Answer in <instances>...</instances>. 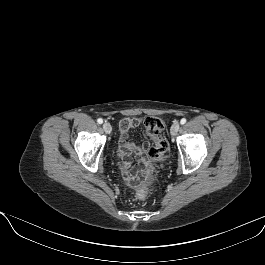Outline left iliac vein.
I'll use <instances>...</instances> for the list:
<instances>
[{
  "label": "left iliac vein",
  "mask_w": 265,
  "mask_h": 265,
  "mask_svg": "<svg viewBox=\"0 0 265 265\" xmlns=\"http://www.w3.org/2000/svg\"><path fill=\"white\" fill-rule=\"evenodd\" d=\"M180 125L178 122H174L171 126L170 133L172 136H175L179 131Z\"/></svg>",
  "instance_id": "4c4485c4"
}]
</instances>
